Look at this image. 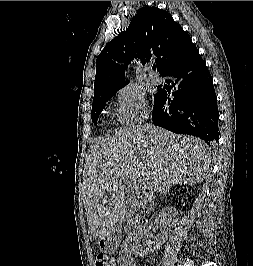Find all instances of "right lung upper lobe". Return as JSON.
Instances as JSON below:
<instances>
[{
	"label": "right lung upper lobe",
	"mask_w": 253,
	"mask_h": 266,
	"mask_svg": "<svg viewBox=\"0 0 253 266\" xmlns=\"http://www.w3.org/2000/svg\"><path fill=\"white\" fill-rule=\"evenodd\" d=\"M196 48L182 27L165 10L143 7L126 31L112 39L96 60L93 101L128 84L125 70L134 58L155 60L162 75Z\"/></svg>",
	"instance_id": "1"
}]
</instances>
